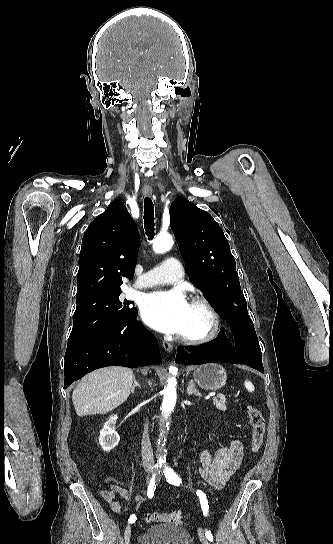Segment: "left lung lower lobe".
<instances>
[{"instance_id":"1","label":"left lung lower lobe","mask_w":333,"mask_h":544,"mask_svg":"<svg viewBox=\"0 0 333 544\" xmlns=\"http://www.w3.org/2000/svg\"><path fill=\"white\" fill-rule=\"evenodd\" d=\"M235 338V344L226 338L222 328L217 338L200 345L180 347L176 355V361L182 364H202L209 360L248 365L261 373H264L261 350L252 345L248 335L243 329L231 327Z\"/></svg>"}]
</instances>
